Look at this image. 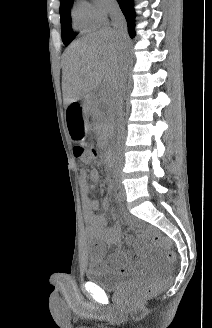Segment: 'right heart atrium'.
<instances>
[{"mask_svg":"<svg viewBox=\"0 0 212 328\" xmlns=\"http://www.w3.org/2000/svg\"><path fill=\"white\" fill-rule=\"evenodd\" d=\"M115 7V0H89L87 3L88 13L97 23L106 22Z\"/></svg>","mask_w":212,"mask_h":328,"instance_id":"d8ad5b80","label":"right heart atrium"}]
</instances>
